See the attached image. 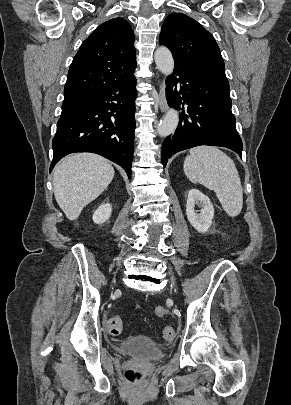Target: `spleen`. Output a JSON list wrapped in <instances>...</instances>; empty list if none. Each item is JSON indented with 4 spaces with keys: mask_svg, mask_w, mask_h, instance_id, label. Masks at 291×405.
<instances>
[{
    "mask_svg": "<svg viewBox=\"0 0 291 405\" xmlns=\"http://www.w3.org/2000/svg\"><path fill=\"white\" fill-rule=\"evenodd\" d=\"M184 172L193 183L214 190L224 211L235 217L243 206V189L233 160L218 148L200 146L190 150Z\"/></svg>",
    "mask_w": 291,
    "mask_h": 405,
    "instance_id": "3e777b00",
    "label": "spleen"
}]
</instances>
